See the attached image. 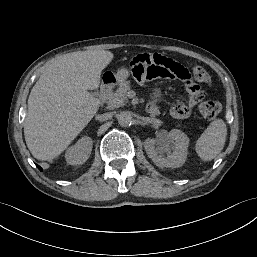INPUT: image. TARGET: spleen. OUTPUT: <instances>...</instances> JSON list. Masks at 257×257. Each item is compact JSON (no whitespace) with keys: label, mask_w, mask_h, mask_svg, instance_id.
<instances>
[{"label":"spleen","mask_w":257,"mask_h":257,"mask_svg":"<svg viewBox=\"0 0 257 257\" xmlns=\"http://www.w3.org/2000/svg\"><path fill=\"white\" fill-rule=\"evenodd\" d=\"M227 136L226 124L222 119L212 121L197 140L195 150L203 161L214 159L223 149Z\"/></svg>","instance_id":"spleen-1"}]
</instances>
